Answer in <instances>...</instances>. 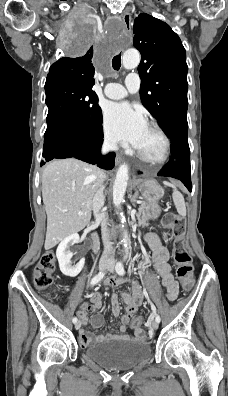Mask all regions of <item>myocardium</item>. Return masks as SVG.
I'll list each match as a JSON object with an SVG mask.
<instances>
[{
    "instance_id": "1",
    "label": "myocardium",
    "mask_w": 228,
    "mask_h": 396,
    "mask_svg": "<svg viewBox=\"0 0 228 396\" xmlns=\"http://www.w3.org/2000/svg\"><path fill=\"white\" fill-rule=\"evenodd\" d=\"M154 131H156L164 141V151L160 158L158 159H150L139 152L137 149L135 150L136 156L144 163L152 165V166H159L164 164L170 157L171 154V141L166 132L156 123L150 122L147 125Z\"/></svg>"
}]
</instances>
